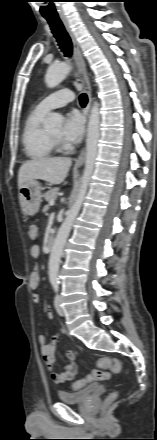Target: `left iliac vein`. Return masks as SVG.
<instances>
[{
  "label": "left iliac vein",
  "mask_w": 157,
  "mask_h": 440,
  "mask_svg": "<svg viewBox=\"0 0 157 440\" xmlns=\"http://www.w3.org/2000/svg\"><path fill=\"white\" fill-rule=\"evenodd\" d=\"M55 309L60 316H64V310L61 306V296L59 294L56 295L54 301Z\"/></svg>",
  "instance_id": "left-iliac-vein-1"
}]
</instances>
